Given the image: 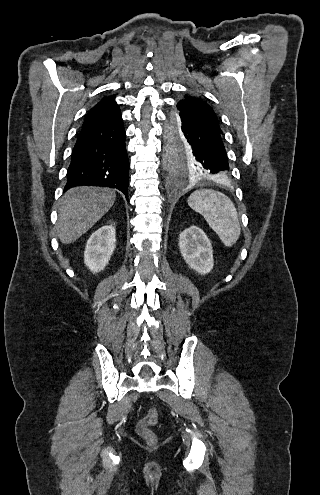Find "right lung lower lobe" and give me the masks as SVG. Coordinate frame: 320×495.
Wrapping results in <instances>:
<instances>
[{
  "label": "right lung lower lobe",
  "mask_w": 320,
  "mask_h": 495,
  "mask_svg": "<svg viewBox=\"0 0 320 495\" xmlns=\"http://www.w3.org/2000/svg\"><path fill=\"white\" fill-rule=\"evenodd\" d=\"M123 120L81 129L71 155L65 190L80 185L116 188L128 198L129 160Z\"/></svg>",
  "instance_id": "right-lung-lower-lobe-1"
}]
</instances>
